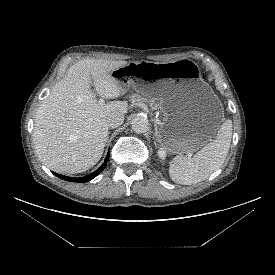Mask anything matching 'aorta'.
<instances>
[{
    "label": "aorta",
    "instance_id": "1",
    "mask_svg": "<svg viewBox=\"0 0 275 275\" xmlns=\"http://www.w3.org/2000/svg\"><path fill=\"white\" fill-rule=\"evenodd\" d=\"M132 129L136 133H145L149 129V121L143 115H137L132 119Z\"/></svg>",
    "mask_w": 275,
    "mask_h": 275
}]
</instances>
